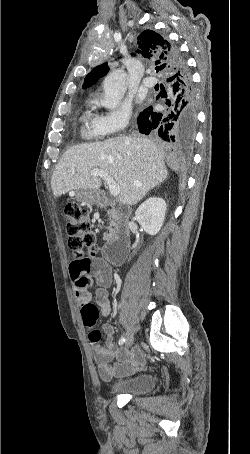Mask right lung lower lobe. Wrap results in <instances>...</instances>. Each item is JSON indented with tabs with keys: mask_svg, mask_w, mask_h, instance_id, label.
Returning a JSON list of instances; mask_svg holds the SVG:
<instances>
[{
	"mask_svg": "<svg viewBox=\"0 0 250 454\" xmlns=\"http://www.w3.org/2000/svg\"><path fill=\"white\" fill-rule=\"evenodd\" d=\"M172 68L164 77L168 93L161 95V107L142 111L137 124L140 133L154 134L164 141L179 147L192 145L197 124L196 98L191 75L179 49L170 43ZM157 99L159 97L157 96Z\"/></svg>",
	"mask_w": 250,
	"mask_h": 454,
	"instance_id": "right-lung-lower-lobe-1",
	"label": "right lung lower lobe"
}]
</instances>
